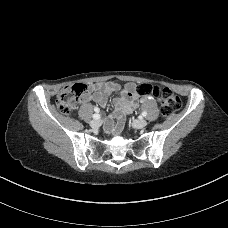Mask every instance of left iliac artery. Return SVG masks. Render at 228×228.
Instances as JSON below:
<instances>
[{"label":"left iliac artery","instance_id":"1","mask_svg":"<svg viewBox=\"0 0 228 228\" xmlns=\"http://www.w3.org/2000/svg\"><path fill=\"white\" fill-rule=\"evenodd\" d=\"M141 115H142L143 117H146L147 112H146V111H143Z\"/></svg>","mask_w":228,"mask_h":228}]
</instances>
